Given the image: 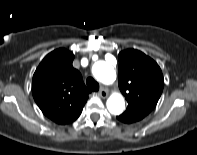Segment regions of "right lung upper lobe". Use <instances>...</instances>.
Returning <instances> with one entry per match:
<instances>
[{
	"label": "right lung upper lobe",
	"instance_id": "obj_1",
	"mask_svg": "<svg viewBox=\"0 0 197 155\" xmlns=\"http://www.w3.org/2000/svg\"><path fill=\"white\" fill-rule=\"evenodd\" d=\"M73 53L60 48L45 56L33 75L32 94L41 111L58 124L75 121L90 91L73 68Z\"/></svg>",
	"mask_w": 197,
	"mask_h": 155
}]
</instances>
